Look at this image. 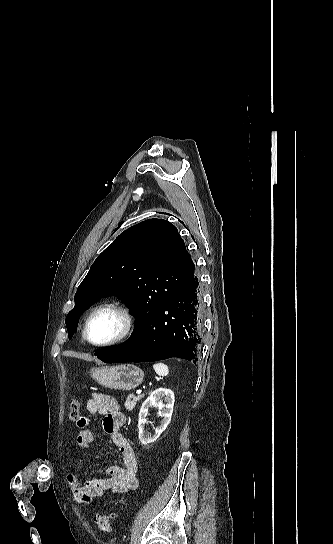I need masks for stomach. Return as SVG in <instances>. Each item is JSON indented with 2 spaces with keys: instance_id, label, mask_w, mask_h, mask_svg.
I'll list each match as a JSON object with an SVG mask.
<instances>
[{
  "instance_id": "0dacf381",
  "label": "stomach",
  "mask_w": 333,
  "mask_h": 544,
  "mask_svg": "<svg viewBox=\"0 0 333 544\" xmlns=\"http://www.w3.org/2000/svg\"><path fill=\"white\" fill-rule=\"evenodd\" d=\"M90 373L100 385L123 391L138 387L144 378V372L133 364L93 368Z\"/></svg>"
}]
</instances>
